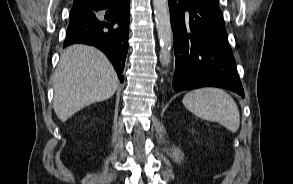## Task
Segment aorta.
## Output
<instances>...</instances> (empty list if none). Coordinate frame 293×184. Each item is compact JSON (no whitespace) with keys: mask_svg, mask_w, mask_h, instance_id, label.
Returning a JSON list of instances; mask_svg holds the SVG:
<instances>
[{"mask_svg":"<svg viewBox=\"0 0 293 184\" xmlns=\"http://www.w3.org/2000/svg\"><path fill=\"white\" fill-rule=\"evenodd\" d=\"M153 7L161 49L160 59L163 65L168 66L171 61L170 49L173 41L168 0H153Z\"/></svg>","mask_w":293,"mask_h":184,"instance_id":"762f6f07","label":"aorta"}]
</instances>
